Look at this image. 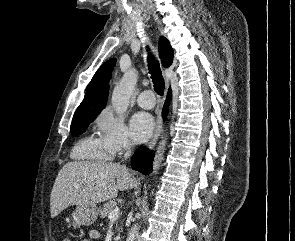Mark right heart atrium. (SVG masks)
<instances>
[{
	"label": "right heart atrium",
	"instance_id": "obj_1",
	"mask_svg": "<svg viewBox=\"0 0 295 241\" xmlns=\"http://www.w3.org/2000/svg\"><path fill=\"white\" fill-rule=\"evenodd\" d=\"M94 127L107 153L112 157L132 146L124 119L110 108L103 109L94 120Z\"/></svg>",
	"mask_w": 295,
	"mask_h": 241
}]
</instances>
